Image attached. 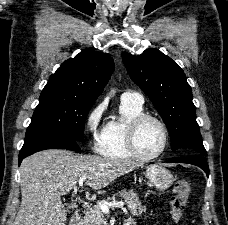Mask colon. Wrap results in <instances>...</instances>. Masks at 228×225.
Wrapping results in <instances>:
<instances>
[{
    "label": "colon",
    "mask_w": 228,
    "mask_h": 225,
    "mask_svg": "<svg viewBox=\"0 0 228 225\" xmlns=\"http://www.w3.org/2000/svg\"><path fill=\"white\" fill-rule=\"evenodd\" d=\"M190 192L191 185L189 181L183 179L174 183L172 187V206L170 209V215L174 222H179L182 219Z\"/></svg>",
    "instance_id": "5ec220e1"
}]
</instances>
